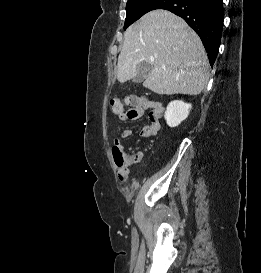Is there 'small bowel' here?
<instances>
[{
	"label": "small bowel",
	"mask_w": 261,
	"mask_h": 273,
	"mask_svg": "<svg viewBox=\"0 0 261 273\" xmlns=\"http://www.w3.org/2000/svg\"><path fill=\"white\" fill-rule=\"evenodd\" d=\"M140 104L143 109L144 108L152 109V112L149 115L150 123L142 128L141 135L146 138L154 137L158 134L161 128L159 119L162 114L163 107L159 102L150 99H143L140 101ZM119 118L123 121L130 120L125 113L119 114ZM131 135L132 130L128 128L121 133V138L122 139L129 138ZM115 145L121 146L120 140H116ZM125 156L126 164L125 166L120 167L118 172V178L121 182H125L128 179L129 166L139 163L143 158V153L142 151L136 150L127 153Z\"/></svg>",
	"instance_id": "1"
}]
</instances>
